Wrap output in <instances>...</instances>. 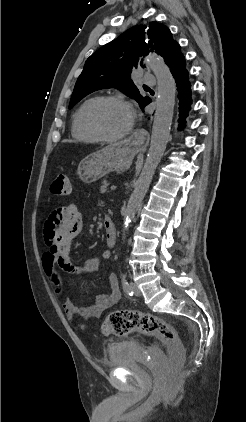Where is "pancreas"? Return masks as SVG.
Listing matches in <instances>:
<instances>
[{
	"instance_id": "obj_1",
	"label": "pancreas",
	"mask_w": 246,
	"mask_h": 422,
	"mask_svg": "<svg viewBox=\"0 0 246 422\" xmlns=\"http://www.w3.org/2000/svg\"><path fill=\"white\" fill-rule=\"evenodd\" d=\"M107 186H108L107 180L104 179L102 182V186L100 188V193H105L107 191Z\"/></svg>"
}]
</instances>
